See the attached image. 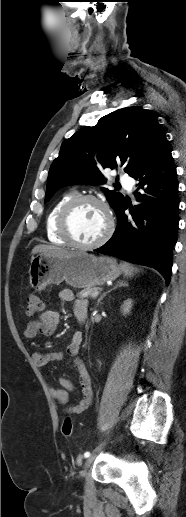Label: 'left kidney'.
I'll return each instance as SVG.
<instances>
[{
  "label": "left kidney",
  "mask_w": 186,
  "mask_h": 517,
  "mask_svg": "<svg viewBox=\"0 0 186 517\" xmlns=\"http://www.w3.org/2000/svg\"><path fill=\"white\" fill-rule=\"evenodd\" d=\"M132 303H133L132 299H127L126 301H124L123 305L121 306V311H122L123 315H127L130 313L132 305H133Z\"/></svg>",
  "instance_id": "left-kidney-1"
}]
</instances>
